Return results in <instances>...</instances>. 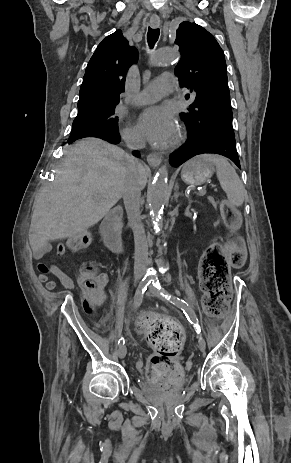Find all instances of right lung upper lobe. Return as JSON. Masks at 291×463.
Instances as JSON below:
<instances>
[{"label": "right lung upper lobe", "mask_w": 291, "mask_h": 463, "mask_svg": "<svg viewBox=\"0 0 291 463\" xmlns=\"http://www.w3.org/2000/svg\"><path fill=\"white\" fill-rule=\"evenodd\" d=\"M138 60L121 30L107 36L91 57L81 84L77 117L116 106L124 91L126 73Z\"/></svg>", "instance_id": "obj_1"}]
</instances>
